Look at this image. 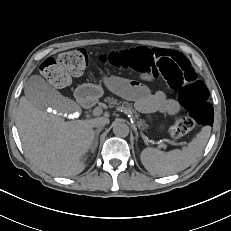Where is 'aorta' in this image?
<instances>
[{"label":"aorta","instance_id":"1","mask_svg":"<svg viewBox=\"0 0 231 231\" xmlns=\"http://www.w3.org/2000/svg\"><path fill=\"white\" fill-rule=\"evenodd\" d=\"M113 133L118 137H126L129 134V127L123 122H115L113 125Z\"/></svg>","mask_w":231,"mask_h":231}]
</instances>
